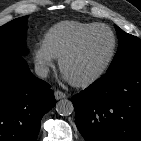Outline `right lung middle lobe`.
<instances>
[{
	"label": "right lung middle lobe",
	"instance_id": "dd1d6c3e",
	"mask_svg": "<svg viewBox=\"0 0 141 141\" xmlns=\"http://www.w3.org/2000/svg\"><path fill=\"white\" fill-rule=\"evenodd\" d=\"M27 16L14 19L0 27V60L21 57L25 52Z\"/></svg>",
	"mask_w": 141,
	"mask_h": 141
}]
</instances>
